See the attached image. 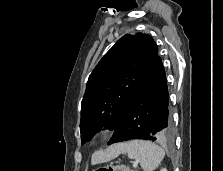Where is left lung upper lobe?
I'll list each match as a JSON object with an SVG mask.
<instances>
[{
    "label": "left lung upper lobe",
    "instance_id": "left-lung-upper-lobe-1",
    "mask_svg": "<svg viewBox=\"0 0 223 171\" xmlns=\"http://www.w3.org/2000/svg\"><path fill=\"white\" fill-rule=\"evenodd\" d=\"M158 56L151 36L126 34L89 76L81 104L82 144L102 128L114 130L147 78Z\"/></svg>",
    "mask_w": 223,
    "mask_h": 171
}]
</instances>
